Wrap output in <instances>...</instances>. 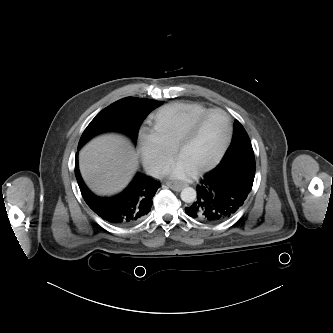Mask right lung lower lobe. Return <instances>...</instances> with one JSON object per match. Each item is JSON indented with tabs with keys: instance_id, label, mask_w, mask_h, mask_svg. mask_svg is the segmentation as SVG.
Returning <instances> with one entry per match:
<instances>
[{
	"instance_id": "obj_1",
	"label": "right lung lower lobe",
	"mask_w": 333,
	"mask_h": 333,
	"mask_svg": "<svg viewBox=\"0 0 333 333\" xmlns=\"http://www.w3.org/2000/svg\"><path fill=\"white\" fill-rule=\"evenodd\" d=\"M75 175L87 205L104 220L119 226L134 225L145 218L152 207V199L160 182L137 173L128 187L112 197H98L84 184L78 169L76 154Z\"/></svg>"
}]
</instances>
